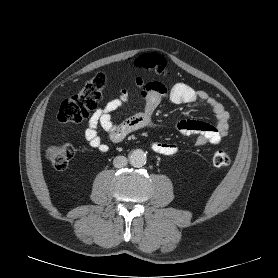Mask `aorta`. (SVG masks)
Segmentation results:
<instances>
[{"instance_id":"762f6f07","label":"aorta","mask_w":278,"mask_h":278,"mask_svg":"<svg viewBox=\"0 0 278 278\" xmlns=\"http://www.w3.org/2000/svg\"><path fill=\"white\" fill-rule=\"evenodd\" d=\"M129 162L133 167L140 168L146 164L147 157L143 150L136 149L129 153Z\"/></svg>"}]
</instances>
